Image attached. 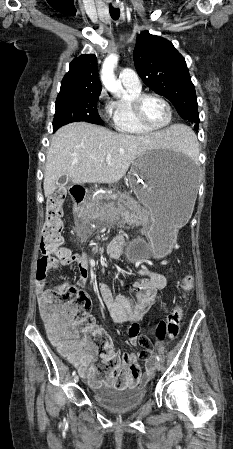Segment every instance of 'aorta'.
<instances>
[{
  "label": "aorta",
  "mask_w": 233,
  "mask_h": 449,
  "mask_svg": "<svg viewBox=\"0 0 233 449\" xmlns=\"http://www.w3.org/2000/svg\"><path fill=\"white\" fill-rule=\"evenodd\" d=\"M117 63L118 55L116 54H110L104 60L101 70V81L109 92L120 96L124 92V89L114 74Z\"/></svg>",
  "instance_id": "1"
}]
</instances>
